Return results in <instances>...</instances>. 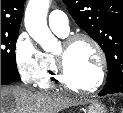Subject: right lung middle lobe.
I'll use <instances>...</instances> for the list:
<instances>
[{"label": "right lung middle lobe", "mask_w": 123, "mask_h": 113, "mask_svg": "<svg viewBox=\"0 0 123 113\" xmlns=\"http://www.w3.org/2000/svg\"><path fill=\"white\" fill-rule=\"evenodd\" d=\"M18 33L19 31L1 33V84L20 81L15 58Z\"/></svg>", "instance_id": "1"}]
</instances>
